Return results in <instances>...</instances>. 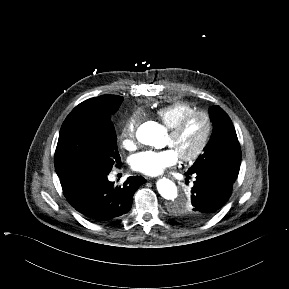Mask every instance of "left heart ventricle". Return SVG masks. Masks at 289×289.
Segmentation results:
<instances>
[{
  "label": "left heart ventricle",
  "instance_id": "left-heart-ventricle-1",
  "mask_svg": "<svg viewBox=\"0 0 289 289\" xmlns=\"http://www.w3.org/2000/svg\"><path fill=\"white\" fill-rule=\"evenodd\" d=\"M205 121L202 117L192 118L177 137L170 134L167 145L172 147L179 156L192 153L200 144L205 133Z\"/></svg>",
  "mask_w": 289,
  "mask_h": 289
}]
</instances>
